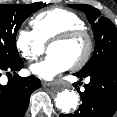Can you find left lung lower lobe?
<instances>
[{
  "label": "left lung lower lobe",
  "instance_id": "left-lung-lower-lobe-1",
  "mask_svg": "<svg viewBox=\"0 0 117 117\" xmlns=\"http://www.w3.org/2000/svg\"><path fill=\"white\" fill-rule=\"evenodd\" d=\"M74 75L80 80L90 77V82L84 85V92L78 90L82 104L76 112L61 114L60 117H112L117 111V58H112L86 75Z\"/></svg>",
  "mask_w": 117,
  "mask_h": 117
}]
</instances>
